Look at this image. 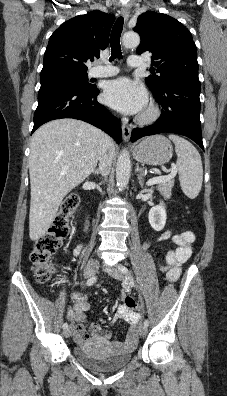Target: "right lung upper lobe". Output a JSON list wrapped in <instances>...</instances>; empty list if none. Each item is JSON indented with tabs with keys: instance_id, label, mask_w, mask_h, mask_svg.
<instances>
[{
	"instance_id": "obj_1",
	"label": "right lung upper lobe",
	"mask_w": 227,
	"mask_h": 396,
	"mask_svg": "<svg viewBox=\"0 0 227 396\" xmlns=\"http://www.w3.org/2000/svg\"><path fill=\"white\" fill-rule=\"evenodd\" d=\"M115 16L99 10L64 22L50 37L42 70L69 68L86 70V62L99 57L109 44Z\"/></svg>"
}]
</instances>
